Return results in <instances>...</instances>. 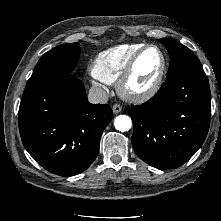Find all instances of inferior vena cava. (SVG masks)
<instances>
[{
	"instance_id": "inferior-vena-cava-1",
	"label": "inferior vena cava",
	"mask_w": 221,
	"mask_h": 221,
	"mask_svg": "<svg viewBox=\"0 0 221 221\" xmlns=\"http://www.w3.org/2000/svg\"><path fill=\"white\" fill-rule=\"evenodd\" d=\"M88 101L92 104H105L108 101V93L100 87H91L88 93Z\"/></svg>"
}]
</instances>
